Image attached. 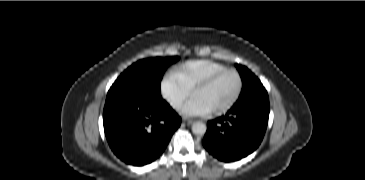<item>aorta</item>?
<instances>
[{"label":"aorta","mask_w":365,"mask_h":180,"mask_svg":"<svg viewBox=\"0 0 365 180\" xmlns=\"http://www.w3.org/2000/svg\"><path fill=\"white\" fill-rule=\"evenodd\" d=\"M206 130H207V126L203 122H194L192 124V132L195 135L202 136V135H204L206 133Z\"/></svg>","instance_id":"1"}]
</instances>
